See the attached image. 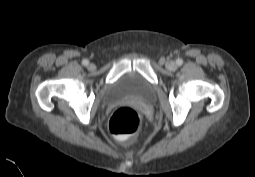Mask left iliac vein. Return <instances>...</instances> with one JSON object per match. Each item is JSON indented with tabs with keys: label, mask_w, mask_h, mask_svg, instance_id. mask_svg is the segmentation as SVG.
<instances>
[{
	"label": "left iliac vein",
	"mask_w": 255,
	"mask_h": 177,
	"mask_svg": "<svg viewBox=\"0 0 255 177\" xmlns=\"http://www.w3.org/2000/svg\"><path fill=\"white\" fill-rule=\"evenodd\" d=\"M166 66L171 71H173L177 68V64L173 61L168 62Z\"/></svg>",
	"instance_id": "1"
}]
</instances>
